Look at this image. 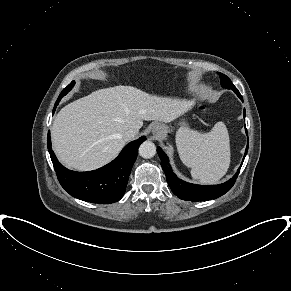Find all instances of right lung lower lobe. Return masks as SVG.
Here are the masks:
<instances>
[{
	"mask_svg": "<svg viewBox=\"0 0 291 291\" xmlns=\"http://www.w3.org/2000/svg\"><path fill=\"white\" fill-rule=\"evenodd\" d=\"M144 140L142 136L129 143L115 160L90 172H75L62 166L51 148L50 133L47 146L59 183L67 193L83 201L110 204L123 197L138 148Z\"/></svg>",
	"mask_w": 291,
	"mask_h": 291,
	"instance_id": "98d812e1",
	"label": "right lung lower lobe"
}]
</instances>
